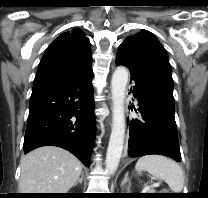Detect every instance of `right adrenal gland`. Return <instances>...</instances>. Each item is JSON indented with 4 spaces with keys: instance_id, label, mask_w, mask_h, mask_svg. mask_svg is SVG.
I'll use <instances>...</instances> for the list:
<instances>
[{
    "instance_id": "right-adrenal-gland-1",
    "label": "right adrenal gland",
    "mask_w": 208,
    "mask_h": 198,
    "mask_svg": "<svg viewBox=\"0 0 208 198\" xmlns=\"http://www.w3.org/2000/svg\"><path fill=\"white\" fill-rule=\"evenodd\" d=\"M83 177H84V174H83V172L81 173V177L75 182V184H74V187L78 184V183H82V181H83Z\"/></svg>"
}]
</instances>
